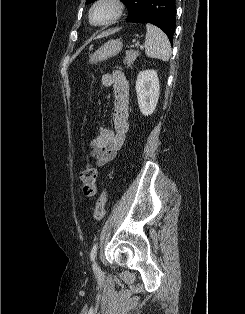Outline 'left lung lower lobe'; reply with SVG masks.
<instances>
[{
    "instance_id": "0a47b994",
    "label": "left lung lower lobe",
    "mask_w": 245,
    "mask_h": 314,
    "mask_svg": "<svg viewBox=\"0 0 245 314\" xmlns=\"http://www.w3.org/2000/svg\"><path fill=\"white\" fill-rule=\"evenodd\" d=\"M175 0H144L140 10L128 22H148L162 29L172 43L175 32Z\"/></svg>"
}]
</instances>
